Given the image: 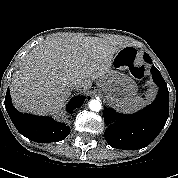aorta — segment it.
Masks as SVG:
<instances>
[{
  "label": "aorta",
  "instance_id": "762f6f07",
  "mask_svg": "<svg viewBox=\"0 0 178 178\" xmlns=\"http://www.w3.org/2000/svg\"><path fill=\"white\" fill-rule=\"evenodd\" d=\"M89 108L92 111H99L101 110V102L97 99H93L89 102Z\"/></svg>",
  "mask_w": 178,
  "mask_h": 178
}]
</instances>
